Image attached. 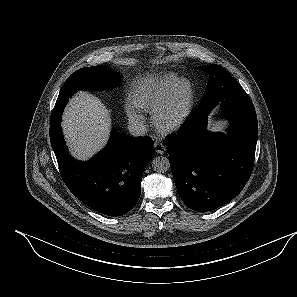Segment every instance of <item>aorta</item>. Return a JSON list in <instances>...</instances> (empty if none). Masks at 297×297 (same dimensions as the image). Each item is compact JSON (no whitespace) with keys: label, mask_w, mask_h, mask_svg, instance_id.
Listing matches in <instances>:
<instances>
[{"label":"aorta","mask_w":297,"mask_h":297,"mask_svg":"<svg viewBox=\"0 0 297 297\" xmlns=\"http://www.w3.org/2000/svg\"><path fill=\"white\" fill-rule=\"evenodd\" d=\"M152 168L154 171H156L158 173H164L169 170L170 162H169L168 158L163 157V156H158L153 159Z\"/></svg>","instance_id":"aorta-1"}]
</instances>
